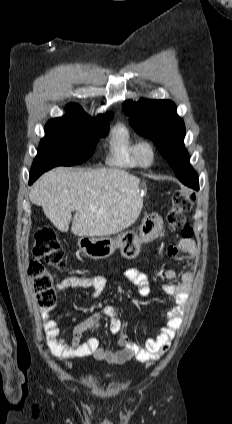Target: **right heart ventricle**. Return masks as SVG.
<instances>
[{
	"label": "right heart ventricle",
	"instance_id": "1",
	"mask_svg": "<svg viewBox=\"0 0 232 424\" xmlns=\"http://www.w3.org/2000/svg\"><path fill=\"white\" fill-rule=\"evenodd\" d=\"M140 143L126 125H116L108 140L107 164L122 169L141 166L137 157Z\"/></svg>",
	"mask_w": 232,
	"mask_h": 424
}]
</instances>
